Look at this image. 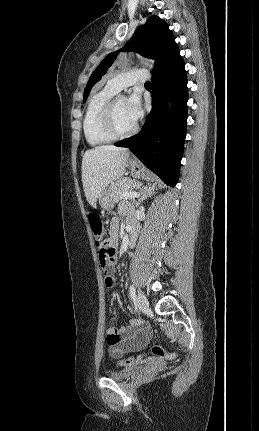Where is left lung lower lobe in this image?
<instances>
[{
  "instance_id": "1",
  "label": "left lung lower lobe",
  "mask_w": 259,
  "mask_h": 431,
  "mask_svg": "<svg viewBox=\"0 0 259 431\" xmlns=\"http://www.w3.org/2000/svg\"><path fill=\"white\" fill-rule=\"evenodd\" d=\"M173 42L152 72V110L142 130L116 146L127 147L167 185L179 178L187 122V74Z\"/></svg>"
}]
</instances>
